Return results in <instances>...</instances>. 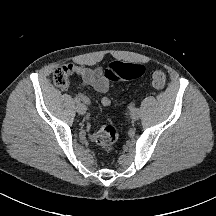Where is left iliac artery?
Listing matches in <instances>:
<instances>
[{
    "label": "left iliac artery",
    "mask_w": 216,
    "mask_h": 216,
    "mask_svg": "<svg viewBox=\"0 0 216 216\" xmlns=\"http://www.w3.org/2000/svg\"><path fill=\"white\" fill-rule=\"evenodd\" d=\"M128 108H129L130 110L135 109V104H134V103H131V104L128 106Z\"/></svg>",
    "instance_id": "1"
}]
</instances>
